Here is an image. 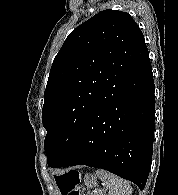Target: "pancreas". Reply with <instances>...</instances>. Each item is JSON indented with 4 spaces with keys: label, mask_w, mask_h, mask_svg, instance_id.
I'll use <instances>...</instances> for the list:
<instances>
[{
    "label": "pancreas",
    "mask_w": 178,
    "mask_h": 195,
    "mask_svg": "<svg viewBox=\"0 0 178 195\" xmlns=\"http://www.w3.org/2000/svg\"><path fill=\"white\" fill-rule=\"evenodd\" d=\"M96 195H103L102 193H98V194H96Z\"/></svg>",
    "instance_id": "pancreas-1"
}]
</instances>
